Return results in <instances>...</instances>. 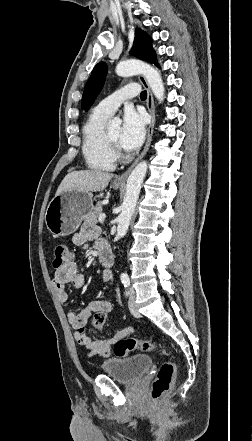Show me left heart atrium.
Returning a JSON list of instances; mask_svg holds the SVG:
<instances>
[{"label": "left heart atrium", "instance_id": "1", "mask_svg": "<svg viewBox=\"0 0 252 441\" xmlns=\"http://www.w3.org/2000/svg\"><path fill=\"white\" fill-rule=\"evenodd\" d=\"M146 118L141 111L128 107L123 115L119 145L125 151L138 149L144 141Z\"/></svg>", "mask_w": 252, "mask_h": 441}]
</instances>
